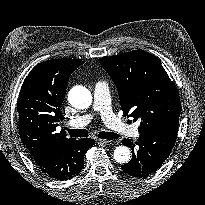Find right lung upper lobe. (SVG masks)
<instances>
[{"instance_id": "cb5924a9", "label": "right lung upper lobe", "mask_w": 205, "mask_h": 205, "mask_svg": "<svg viewBox=\"0 0 205 205\" xmlns=\"http://www.w3.org/2000/svg\"><path fill=\"white\" fill-rule=\"evenodd\" d=\"M83 61L53 59L42 62L25 78L19 95V133L33 159L64 146L73 139L56 132L64 118L60 107L64 101L71 73Z\"/></svg>"}]
</instances>
